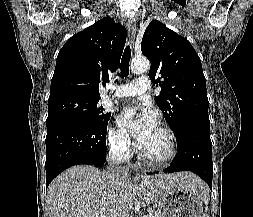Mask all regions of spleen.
Returning <instances> with one entry per match:
<instances>
[{"label":"spleen","mask_w":253,"mask_h":217,"mask_svg":"<svg viewBox=\"0 0 253 217\" xmlns=\"http://www.w3.org/2000/svg\"><path fill=\"white\" fill-rule=\"evenodd\" d=\"M202 194H203V200H204V202L207 203L208 200H209L208 194L207 193H202ZM206 209H207V207H206ZM203 217H208V215L204 214Z\"/></svg>","instance_id":"3e777b00"}]
</instances>
